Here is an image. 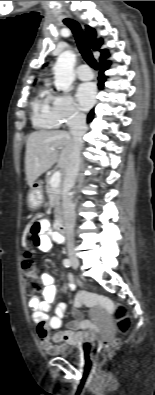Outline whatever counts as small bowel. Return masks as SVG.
Segmentation results:
<instances>
[{
  "label": "small bowel",
  "instance_id": "obj_1",
  "mask_svg": "<svg viewBox=\"0 0 155 395\" xmlns=\"http://www.w3.org/2000/svg\"><path fill=\"white\" fill-rule=\"evenodd\" d=\"M50 223L47 218H43L36 222L31 228V242L42 252L52 250V243H61L63 238L58 234L49 233ZM43 290L42 298L32 296L28 305L32 310V321L36 325V333L41 342L42 347L49 353H55L58 344L65 342L71 345H80L88 342L94 337L97 326L81 317L77 309L73 310V320L69 322L68 329L58 331L51 336V330H59L62 326V319L66 312V304L59 303L52 316L48 315L51 303L56 298V286L54 278L48 273H42L40 276ZM70 290L75 289L74 283H69ZM87 305L95 309L96 314L102 315L113 309V303L106 297L86 292H79L75 299L76 308Z\"/></svg>",
  "mask_w": 155,
  "mask_h": 395
}]
</instances>
